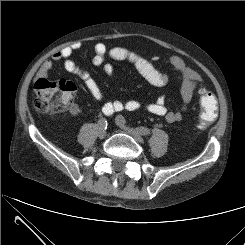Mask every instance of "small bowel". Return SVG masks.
Instances as JSON below:
<instances>
[{
  "instance_id": "c3829d8e",
  "label": "small bowel",
  "mask_w": 245,
  "mask_h": 245,
  "mask_svg": "<svg viewBox=\"0 0 245 245\" xmlns=\"http://www.w3.org/2000/svg\"><path fill=\"white\" fill-rule=\"evenodd\" d=\"M80 48L81 46L79 44H72L55 52L52 55V60H46L41 65L36 75V79L39 80L47 78L54 67L53 61H62L64 69L68 73L80 78L94 99L102 101L104 99V94L99 84L91 76L88 70L80 68L71 59L73 53ZM94 51L95 55L93 57V64L96 66H102L104 73L108 77H112L114 75L113 65L106 62V59L110 58L115 61L129 63L148 83L153 86H164L169 81L168 75L159 71L154 66V62L158 61L159 57L147 59L129 49L123 47H108L102 42L94 45ZM169 63L179 76L181 107L178 110L169 109L166 106L164 98H158L157 100L148 103L135 99L126 101H108L104 103L102 110L108 113V115H111L114 112L122 110L145 109L151 114L163 117L169 123L181 121L184 112L187 110L188 105L192 100L196 88L201 82V77L195 70L188 67L178 56L171 57ZM70 111L72 114L77 115L81 113L82 109L79 105L72 104Z\"/></svg>"
}]
</instances>
